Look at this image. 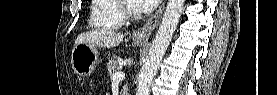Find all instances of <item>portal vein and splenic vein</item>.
I'll return each instance as SVG.
<instances>
[{"mask_svg":"<svg viewBox=\"0 0 277 95\" xmlns=\"http://www.w3.org/2000/svg\"><path fill=\"white\" fill-rule=\"evenodd\" d=\"M125 77V73L124 72H115L113 75H112V79L114 81H121L123 80Z\"/></svg>","mask_w":277,"mask_h":95,"instance_id":"portal-vein-and-splenic-vein-1","label":"portal vein and splenic vein"}]
</instances>
